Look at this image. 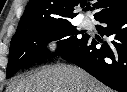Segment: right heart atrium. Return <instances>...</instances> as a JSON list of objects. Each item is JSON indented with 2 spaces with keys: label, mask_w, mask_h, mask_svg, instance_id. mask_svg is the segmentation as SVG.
I'll list each match as a JSON object with an SVG mask.
<instances>
[{
  "label": "right heart atrium",
  "mask_w": 127,
  "mask_h": 92,
  "mask_svg": "<svg viewBox=\"0 0 127 92\" xmlns=\"http://www.w3.org/2000/svg\"><path fill=\"white\" fill-rule=\"evenodd\" d=\"M61 47V37L55 34L49 35L42 43V54L46 59H51L59 54Z\"/></svg>",
  "instance_id": "1"
}]
</instances>
